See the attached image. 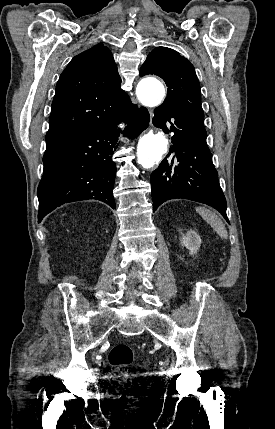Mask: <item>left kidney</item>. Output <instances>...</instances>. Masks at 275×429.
<instances>
[{"instance_id": "1", "label": "left kidney", "mask_w": 275, "mask_h": 429, "mask_svg": "<svg viewBox=\"0 0 275 429\" xmlns=\"http://www.w3.org/2000/svg\"><path fill=\"white\" fill-rule=\"evenodd\" d=\"M182 245L185 246L191 255H195L200 248V236L193 230L187 231L182 237Z\"/></svg>"}]
</instances>
